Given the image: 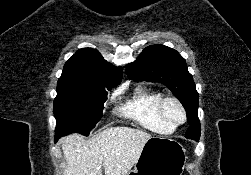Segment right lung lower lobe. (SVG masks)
I'll list each match as a JSON object with an SVG mask.
<instances>
[{
	"label": "right lung lower lobe",
	"instance_id": "98d812e1",
	"mask_svg": "<svg viewBox=\"0 0 251 175\" xmlns=\"http://www.w3.org/2000/svg\"><path fill=\"white\" fill-rule=\"evenodd\" d=\"M58 139H59V137H58V136H56V137H55V142H57V140H58Z\"/></svg>",
	"mask_w": 251,
	"mask_h": 175
}]
</instances>
